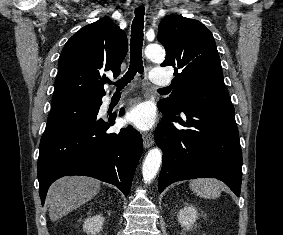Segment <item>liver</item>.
Returning <instances> with one entry per match:
<instances>
[{"mask_svg":"<svg viewBox=\"0 0 283 235\" xmlns=\"http://www.w3.org/2000/svg\"><path fill=\"white\" fill-rule=\"evenodd\" d=\"M100 182L85 176H66L55 181L47 193L51 221H56L94 198Z\"/></svg>","mask_w":283,"mask_h":235,"instance_id":"6515ba94","label":"liver"}]
</instances>
